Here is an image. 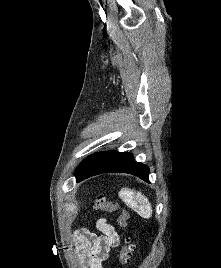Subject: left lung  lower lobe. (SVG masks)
Returning <instances> with one entry per match:
<instances>
[{
  "label": "left lung lower lobe",
  "instance_id": "0a47b994",
  "mask_svg": "<svg viewBox=\"0 0 221 268\" xmlns=\"http://www.w3.org/2000/svg\"><path fill=\"white\" fill-rule=\"evenodd\" d=\"M106 172H125L149 182V168L133 159L131 153L115 151L100 152L90 155L81 162L76 171V180L82 181L96 174Z\"/></svg>",
  "mask_w": 221,
  "mask_h": 268
}]
</instances>
